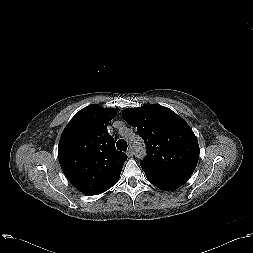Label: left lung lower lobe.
<instances>
[{
	"mask_svg": "<svg viewBox=\"0 0 253 253\" xmlns=\"http://www.w3.org/2000/svg\"><path fill=\"white\" fill-rule=\"evenodd\" d=\"M149 182L164 191H172L191 177L192 171L177 168H159L140 164Z\"/></svg>",
	"mask_w": 253,
	"mask_h": 253,
	"instance_id": "0a47b994",
	"label": "left lung lower lobe"
}]
</instances>
